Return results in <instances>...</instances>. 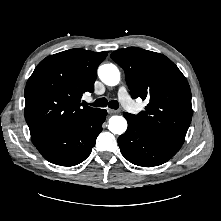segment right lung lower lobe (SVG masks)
<instances>
[{
    "instance_id": "obj_1",
    "label": "right lung lower lobe",
    "mask_w": 221,
    "mask_h": 221,
    "mask_svg": "<svg viewBox=\"0 0 221 221\" xmlns=\"http://www.w3.org/2000/svg\"><path fill=\"white\" fill-rule=\"evenodd\" d=\"M107 111H99L81 119L64 135L43 141L36 146L41 155L51 163L74 166L83 162L91 153L96 138L102 131Z\"/></svg>"
}]
</instances>
